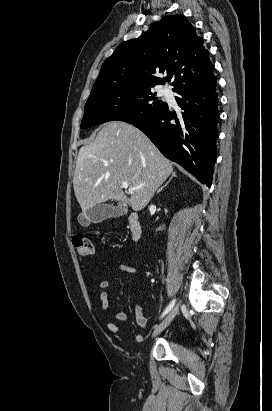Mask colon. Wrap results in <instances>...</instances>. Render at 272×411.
Returning a JSON list of instances; mask_svg holds the SVG:
<instances>
[{"label":"colon","instance_id":"colon-1","mask_svg":"<svg viewBox=\"0 0 272 411\" xmlns=\"http://www.w3.org/2000/svg\"><path fill=\"white\" fill-rule=\"evenodd\" d=\"M73 244L80 256H89L94 252V245L92 241L85 236H75L73 238Z\"/></svg>","mask_w":272,"mask_h":411}]
</instances>
